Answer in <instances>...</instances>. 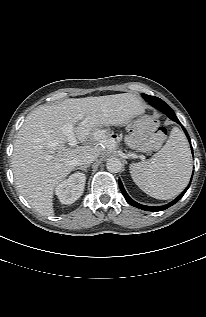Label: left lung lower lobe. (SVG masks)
<instances>
[{
	"label": "left lung lower lobe",
	"instance_id": "0a47b994",
	"mask_svg": "<svg viewBox=\"0 0 206 317\" xmlns=\"http://www.w3.org/2000/svg\"><path fill=\"white\" fill-rule=\"evenodd\" d=\"M148 102H149L152 106H154L155 108H157V109H159L160 111L164 112L170 119H172L173 121H175V122H177V123L180 124L179 120L177 119V117H176V115H175V113H174L173 111L167 110L166 108H164L163 106H161L160 104L156 103V102L153 101V100H150V99H149ZM183 130H184V132H185V134H186V136H187V138H188V140H189V142H190V145H191V141H190V138H189V135H188L186 129L183 128ZM191 149H192V147H191ZM119 186H120V190H121L123 196L125 197L126 201H127L130 205H132V206H134V207H137V208H139V209H142V210L154 211V212H156V211L165 210V209L169 208L170 206L174 205L176 202H178V201L182 198V196L185 194V192L187 191V189L189 188L190 185H188L187 188H186L175 200H173V201L170 202L169 204H166V205H163V206H159V207H153V206L142 205V204H139V203L135 202L134 200H132V199L129 197V195L127 194V192L125 191V189H124V187H123L122 182H121L120 179H119Z\"/></svg>",
	"mask_w": 206,
	"mask_h": 317
}]
</instances>
